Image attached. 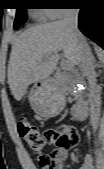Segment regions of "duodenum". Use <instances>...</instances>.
Instances as JSON below:
<instances>
[{
    "label": "duodenum",
    "instance_id": "obj_1",
    "mask_svg": "<svg viewBox=\"0 0 104 169\" xmlns=\"http://www.w3.org/2000/svg\"><path fill=\"white\" fill-rule=\"evenodd\" d=\"M73 116L77 122H83L87 118V102L80 101L73 106Z\"/></svg>",
    "mask_w": 104,
    "mask_h": 169
}]
</instances>
